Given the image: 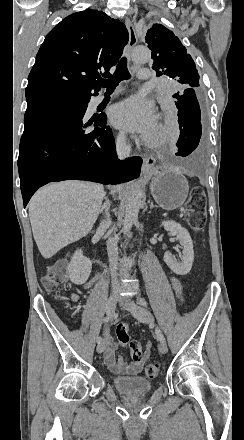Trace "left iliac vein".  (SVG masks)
<instances>
[{
  "instance_id": "obj_1",
  "label": "left iliac vein",
  "mask_w": 244,
  "mask_h": 440,
  "mask_svg": "<svg viewBox=\"0 0 244 440\" xmlns=\"http://www.w3.org/2000/svg\"><path fill=\"white\" fill-rule=\"evenodd\" d=\"M124 304L126 308L133 314V316L141 323H150L153 321L151 313L146 308L137 305L131 299H124ZM158 349L162 354L168 352V347L163 341L159 342Z\"/></svg>"
}]
</instances>
